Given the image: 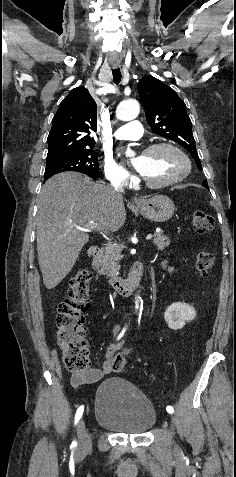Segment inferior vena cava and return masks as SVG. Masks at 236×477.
<instances>
[{"label": "inferior vena cava", "mask_w": 236, "mask_h": 477, "mask_svg": "<svg viewBox=\"0 0 236 477\" xmlns=\"http://www.w3.org/2000/svg\"><path fill=\"white\" fill-rule=\"evenodd\" d=\"M113 189L115 193L119 196H122V193L124 192V184L123 182L120 181H114L112 183Z\"/></svg>", "instance_id": "1"}]
</instances>
